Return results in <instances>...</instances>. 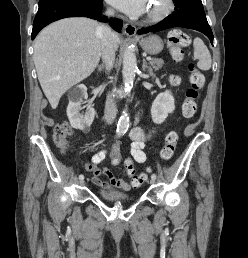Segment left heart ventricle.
<instances>
[{"mask_svg": "<svg viewBox=\"0 0 248 258\" xmlns=\"http://www.w3.org/2000/svg\"><path fill=\"white\" fill-rule=\"evenodd\" d=\"M162 4H163V0H153L150 3L147 12L152 13V12L158 10L162 6Z\"/></svg>", "mask_w": 248, "mask_h": 258, "instance_id": "1", "label": "left heart ventricle"}]
</instances>
